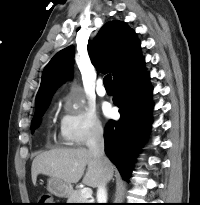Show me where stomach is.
<instances>
[{"instance_id":"stomach-1","label":"stomach","mask_w":200,"mask_h":205,"mask_svg":"<svg viewBox=\"0 0 200 205\" xmlns=\"http://www.w3.org/2000/svg\"><path fill=\"white\" fill-rule=\"evenodd\" d=\"M48 191L60 198L68 197L72 192V186L63 180L55 177H50L47 181Z\"/></svg>"}]
</instances>
